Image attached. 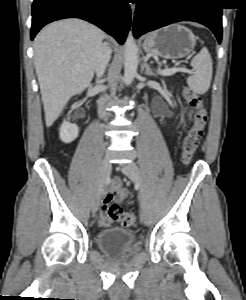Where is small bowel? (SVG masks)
I'll list each match as a JSON object with an SVG mask.
<instances>
[{
    "label": "small bowel",
    "mask_w": 246,
    "mask_h": 300,
    "mask_svg": "<svg viewBox=\"0 0 246 300\" xmlns=\"http://www.w3.org/2000/svg\"><path fill=\"white\" fill-rule=\"evenodd\" d=\"M127 197V192L125 189L122 188V186L115 182L112 186V190L104 197L105 199H108L110 202L116 201V202H122ZM98 223L101 226H109L113 223V220L108 218L103 212H101L98 215Z\"/></svg>",
    "instance_id": "c3829d8e"
}]
</instances>
